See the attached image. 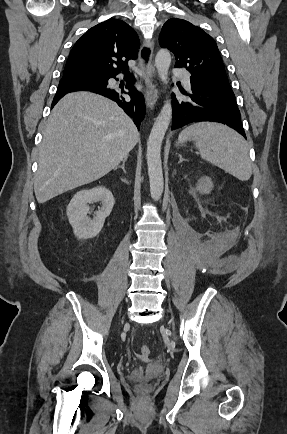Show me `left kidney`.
<instances>
[{
	"mask_svg": "<svg viewBox=\"0 0 287 434\" xmlns=\"http://www.w3.org/2000/svg\"><path fill=\"white\" fill-rule=\"evenodd\" d=\"M213 189V182L211 178L203 176L198 180L196 190L201 194H208Z\"/></svg>",
	"mask_w": 287,
	"mask_h": 434,
	"instance_id": "1",
	"label": "left kidney"
}]
</instances>
